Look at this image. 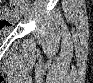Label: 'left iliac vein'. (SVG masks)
I'll return each mask as SVG.
<instances>
[{
    "instance_id": "4c4485c4",
    "label": "left iliac vein",
    "mask_w": 93,
    "mask_h": 83,
    "mask_svg": "<svg viewBox=\"0 0 93 83\" xmlns=\"http://www.w3.org/2000/svg\"><path fill=\"white\" fill-rule=\"evenodd\" d=\"M29 13H30V10H29V9H24V10H23V15H24L25 17H28V16H29Z\"/></svg>"
}]
</instances>
